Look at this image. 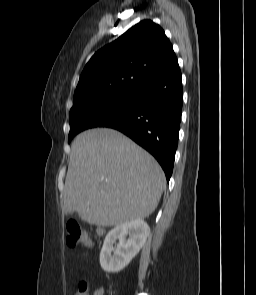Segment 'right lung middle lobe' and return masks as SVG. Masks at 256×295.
Instances as JSON below:
<instances>
[{
    "mask_svg": "<svg viewBox=\"0 0 256 295\" xmlns=\"http://www.w3.org/2000/svg\"><path fill=\"white\" fill-rule=\"evenodd\" d=\"M134 101L135 92L90 102L73 101V107L69 114L68 142L79 132L92 128L102 120H108L119 115L131 107ZM86 119H90V124L86 125Z\"/></svg>",
    "mask_w": 256,
    "mask_h": 295,
    "instance_id": "obj_1",
    "label": "right lung middle lobe"
}]
</instances>
